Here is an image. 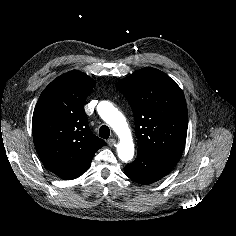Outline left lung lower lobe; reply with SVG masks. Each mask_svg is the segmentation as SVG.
Instances as JSON below:
<instances>
[{
    "label": "left lung lower lobe",
    "instance_id": "left-lung-lower-lobe-1",
    "mask_svg": "<svg viewBox=\"0 0 236 236\" xmlns=\"http://www.w3.org/2000/svg\"><path fill=\"white\" fill-rule=\"evenodd\" d=\"M176 163L161 156L137 151V158L125 166V173L135 182L148 185L166 176Z\"/></svg>",
    "mask_w": 236,
    "mask_h": 236
}]
</instances>
